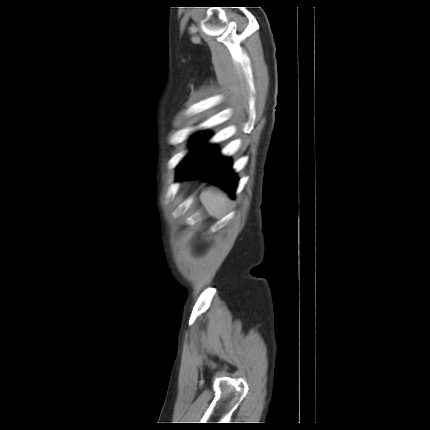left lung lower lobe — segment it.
I'll return each instance as SVG.
<instances>
[{"label": "left lung lower lobe", "mask_w": 430, "mask_h": 430, "mask_svg": "<svg viewBox=\"0 0 430 430\" xmlns=\"http://www.w3.org/2000/svg\"><path fill=\"white\" fill-rule=\"evenodd\" d=\"M196 136L198 139L193 146H199L208 138L203 132ZM231 165V160L222 157L215 145L199 146L179 165L176 180L202 178L221 186L233 197L238 179Z\"/></svg>", "instance_id": "obj_1"}]
</instances>
